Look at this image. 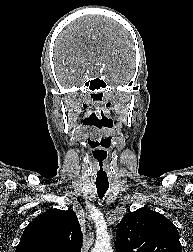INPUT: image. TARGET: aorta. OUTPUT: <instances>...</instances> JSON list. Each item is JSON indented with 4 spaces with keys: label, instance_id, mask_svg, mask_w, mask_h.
<instances>
[{
    "label": "aorta",
    "instance_id": "obj_1",
    "mask_svg": "<svg viewBox=\"0 0 193 252\" xmlns=\"http://www.w3.org/2000/svg\"><path fill=\"white\" fill-rule=\"evenodd\" d=\"M92 252H113V250L108 240H97Z\"/></svg>",
    "mask_w": 193,
    "mask_h": 252
}]
</instances>
